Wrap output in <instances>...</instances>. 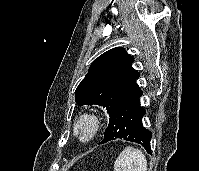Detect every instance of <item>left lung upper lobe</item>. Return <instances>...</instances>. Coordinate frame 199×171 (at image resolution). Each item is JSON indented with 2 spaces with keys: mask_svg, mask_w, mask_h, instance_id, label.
Returning a JSON list of instances; mask_svg holds the SVG:
<instances>
[{
  "mask_svg": "<svg viewBox=\"0 0 199 171\" xmlns=\"http://www.w3.org/2000/svg\"><path fill=\"white\" fill-rule=\"evenodd\" d=\"M133 62L134 58L121 47L100 55L76 89V103L101 105L110 116L138 87L140 74L132 67Z\"/></svg>",
  "mask_w": 199,
  "mask_h": 171,
  "instance_id": "left-lung-upper-lobe-1",
  "label": "left lung upper lobe"
}]
</instances>
